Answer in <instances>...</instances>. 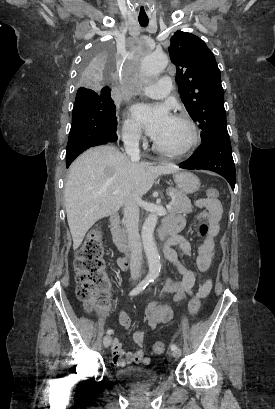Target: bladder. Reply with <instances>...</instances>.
Instances as JSON below:
<instances>
[{"label": "bladder", "instance_id": "1", "mask_svg": "<svg viewBox=\"0 0 275 409\" xmlns=\"http://www.w3.org/2000/svg\"><path fill=\"white\" fill-rule=\"evenodd\" d=\"M118 382H127L132 384V388L143 386H154L162 379V375L155 373L154 369L148 367H124L117 368Z\"/></svg>", "mask_w": 275, "mask_h": 409}]
</instances>
